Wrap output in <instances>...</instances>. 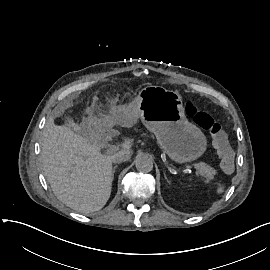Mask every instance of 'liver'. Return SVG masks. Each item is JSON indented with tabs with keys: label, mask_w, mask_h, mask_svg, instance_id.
<instances>
[{
	"label": "liver",
	"mask_w": 270,
	"mask_h": 270,
	"mask_svg": "<svg viewBox=\"0 0 270 270\" xmlns=\"http://www.w3.org/2000/svg\"><path fill=\"white\" fill-rule=\"evenodd\" d=\"M137 118L134 110L122 120V125L132 127ZM41 144L44 174L57 198L83 213L102 209L110 198L114 177L111 156L99 154L96 140H88L66 126L56 125L54 118H50ZM120 146V151L132 155L128 141Z\"/></svg>",
	"instance_id": "1"
}]
</instances>
